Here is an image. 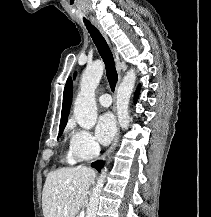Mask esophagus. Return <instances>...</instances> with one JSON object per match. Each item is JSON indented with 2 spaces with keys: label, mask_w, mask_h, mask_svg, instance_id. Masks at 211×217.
<instances>
[{
  "label": "esophagus",
  "mask_w": 211,
  "mask_h": 217,
  "mask_svg": "<svg viewBox=\"0 0 211 217\" xmlns=\"http://www.w3.org/2000/svg\"><path fill=\"white\" fill-rule=\"evenodd\" d=\"M90 18H91V21L94 24V26L99 30V32L105 38L107 43L111 46L109 37H108L107 33L104 31V29L102 28V26L100 25L99 21L94 17H90ZM121 80H122V73L119 72L118 81H117V85H116V90H118V88L120 86V83H121ZM119 136H120V128H119V124H118V121H117V130H116L114 140H113L111 146L108 148V150L102 155V157H101L102 160H105L106 158H108L111 155V153L114 151V149H115V147H116V145L118 143Z\"/></svg>",
  "instance_id": "obj_1"
}]
</instances>
